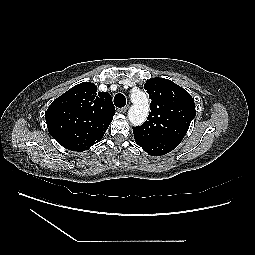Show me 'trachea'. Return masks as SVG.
<instances>
[{
	"label": "trachea",
	"instance_id": "obj_1",
	"mask_svg": "<svg viewBox=\"0 0 255 255\" xmlns=\"http://www.w3.org/2000/svg\"><path fill=\"white\" fill-rule=\"evenodd\" d=\"M114 104L116 107L122 108L126 105V98L123 94H116L114 97Z\"/></svg>",
	"mask_w": 255,
	"mask_h": 255
}]
</instances>
